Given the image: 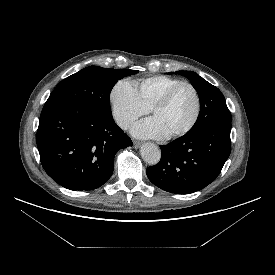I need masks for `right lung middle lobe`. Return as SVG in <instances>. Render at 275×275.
Instances as JSON below:
<instances>
[{
	"instance_id": "1",
	"label": "right lung middle lobe",
	"mask_w": 275,
	"mask_h": 275,
	"mask_svg": "<svg viewBox=\"0 0 275 275\" xmlns=\"http://www.w3.org/2000/svg\"><path fill=\"white\" fill-rule=\"evenodd\" d=\"M138 73L90 66L62 80L50 94L44 108L66 105L89 107L112 116L109 96L119 79Z\"/></svg>"
}]
</instances>
